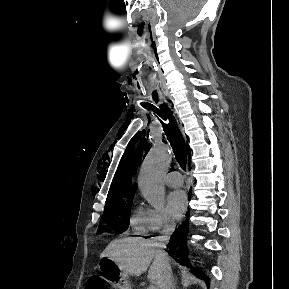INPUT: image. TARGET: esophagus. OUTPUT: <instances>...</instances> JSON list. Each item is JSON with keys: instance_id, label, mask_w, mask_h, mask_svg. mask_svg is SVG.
Here are the masks:
<instances>
[{"instance_id": "esophagus-1", "label": "esophagus", "mask_w": 289, "mask_h": 289, "mask_svg": "<svg viewBox=\"0 0 289 289\" xmlns=\"http://www.w3.org/2000/svg\"><path fill=\"white\" fill-rule=\"evenodd\" d=\"M169 106L170 108L173 110V114L174 116L177 118L178 117V110L173 102V100L171 102H169ZM182 127V126H181Z\"/></svg>"}]
</instances>
